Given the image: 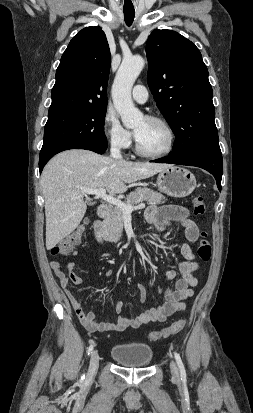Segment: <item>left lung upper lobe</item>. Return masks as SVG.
<instances>
[{
	"mask_svg": "<svg viewBox=\"0 0 253 413\" xmlns=\"http://www.w3.org/2000/svg\"><path fill=\"white\" fill-rule=\"evenodd\" d=\"M148 86L176 139L170 155L221 153L213 91L199 49L172 30H154L146 43Z\"/></svg>",
	"mask_w": 253,
	"mask_h": 413,
	"instance_id": "left-lung-upper-lobe-1",
	"label": "left lung upper lobe"
}]
</instances>
